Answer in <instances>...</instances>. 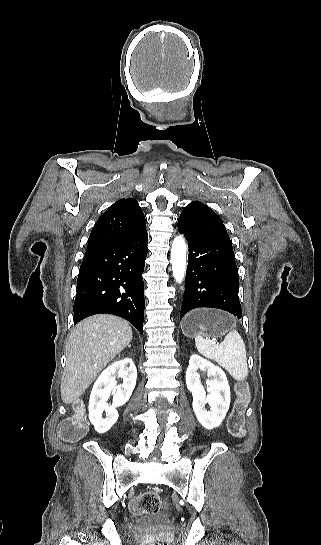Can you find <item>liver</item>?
Segmentation results:
<instances>
[{
	"label": "liver",
	"instance_id": "liver-1",
	"mask_svg": "<svg viewBox=\"0 0 321 545\" xmlns=\"http://www.w3.org/2000/svg\"><path fill=\"white\" fill-rule=\"evenodd\" d=\"M132 341V329L113 315H94L76 325L66 345V367L61 379L63 403L79 399L100 371Z\"/></svg>",
	"mask_w": 321,
	"mask_h": 545
}]
</instances>
